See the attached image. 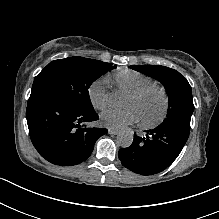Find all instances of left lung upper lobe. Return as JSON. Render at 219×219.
Wrapping results in <instances>:
<instances>
[{
	"label": "left lung upper lobe",
	"instance_id": "1",
	"mask_svg": "<svg viewBox=\"0 0 219 219\" xmlns=\"http://www.w3.org/2000/svg\"><path fill=\"white\" fill-rule=\"evenodd\" d=\"M131 69L161 82L168 94V113L161 124H182L190 128L194 111L192 90L188 81L178 71L157 65H132Z\"/></svg>",
	"mask_w": 219,
	"mask_h": 219
}]
</instances>
